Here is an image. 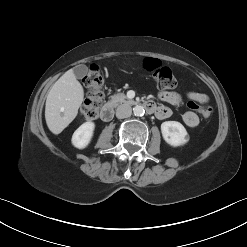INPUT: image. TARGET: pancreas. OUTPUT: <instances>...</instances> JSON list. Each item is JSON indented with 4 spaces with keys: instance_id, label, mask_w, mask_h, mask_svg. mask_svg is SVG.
Instances as JSON below:
<instances>
[{
    "instance_id": "pancreas-1",
    "label": "pancreas",
    "mask_w": 247,
    "mask_h": 247,
    "mask_svg": "<svg viewBox=\"0 0 247 247\" xmlns=\"http://www.w3.org/2000/svg\"><path fill=\"white\" fill-rule=\"evenodd\" d=\"M110 102L113 106H118L119 104H122V103H128V104L134 103L133 100L127 99L126 95L123 93H118V94L111 96Z\"/></svg>"
}]
</instances>
